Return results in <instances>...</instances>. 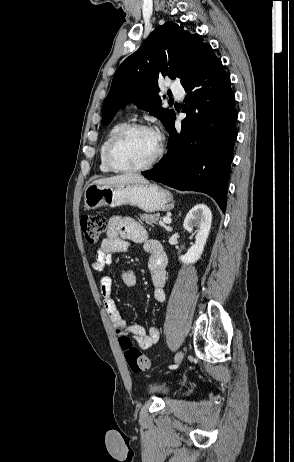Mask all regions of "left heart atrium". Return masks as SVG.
I'll return each mask as SVG.
<instances>
[{"instance_id": "39dd6f15", "label": "left heart atrium", "mask_w": 294, "mask_h": 462, "mask_svg": "<svg viewBox=\"0 0 294 462\" xmlns=\"http://www.w3.org/2000/svg\"><path fill=\"white\" fill-rule=\"evenodd\" d=\"M155 135H156L158 141H160V140H161V134H160V132H159V131H155Z\"/></svg>"}]
</instances>
